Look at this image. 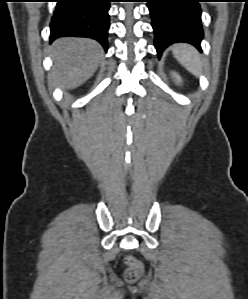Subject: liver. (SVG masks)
<instances>
[{"label": "liver", "instance_id": "6515ba94", "mask_svg": "<svg viewBox=\"0 0 248 299\" xmlns=\"http://www.w3.org/2000/svg\"><path fill=\"white\" fill-rule=\"evenodd\" d=\"M51 51L52 77L66 89L78 87L89 79L103 58L101 45L87 38L57 39Z\"/></svg>", "mask_w": 248, "mask_h": 299}]
</instances>
